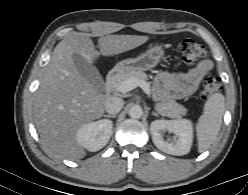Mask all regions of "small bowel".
<instances>
[{"instance_id": "1", "label": "small bowel", "mask_w": 248, "mask_h": 195, "mask_svg": "<svg viewBox=\"0 0 248 195\" xmlns=\"http://www.w3.org/2000/svg\"><path fill=\"white\" fill-rule=\"evenodd\" d=\"M211 70L212 63L204 60L187 72L163 71L156 79L158 94L165 100L186 98L198 89Z\"/></svg>"}]
</instances>
